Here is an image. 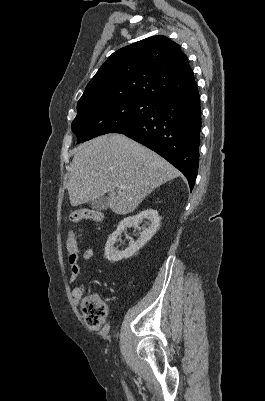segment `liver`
<instances>
[{
  "label": "liver",
  "mask_w": 265,
  "mask_h": 401,
  "mask_svg": "<svg viewBox=\"0 0 265 401\" xmlns=\"http://www.w3.org/2000/svg\"><path fill=\"white\" fill-rule=\"evenodd\" d=\"M179 174L165 158L124 134H103L76 148L67 182L70 205L78 207L108 192L111 211L128 215L154 188ZM116 184L126 188L118 190Z\"/></svg>",
  "instance_id": "6515ba94"
}]
</instances>
